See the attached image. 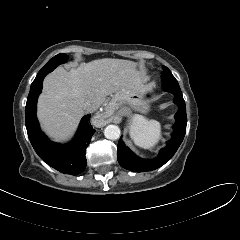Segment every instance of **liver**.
I'll return each instance as SVG.
<instances>
[{
  "instance_id": "1",
  "label": "liver",
  "mask_w": 240,
  "mask_h": 240,
  "mask_svg": "<svg viewBox=\"0 0 240 240\" xmlns=\"http://www.w3.org/2000/svg\"><path fill=\"white\" fill-rule=\"evenodd\" d=\"M136 67L132 61L112 58L82 63L70 71L58 67L45 77L38 99L37 116L43 130L56 141L65 140L84 115L85 102L90 101L96 110L108 95L123 89L143 90L145 79Z\"/></svg>"
}]
</instances>
